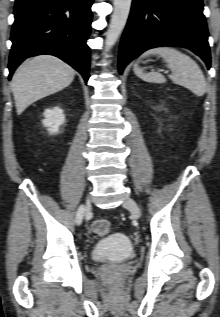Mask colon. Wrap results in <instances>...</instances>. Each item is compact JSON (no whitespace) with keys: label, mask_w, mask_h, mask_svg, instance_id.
<instances>
[{"label":"colon","mask_w":220,"mask_h":317,"mask_svg":"<svg viewBox=\"0 0 220 317\" xmlns=\"http://www.w3.org/2000/svg\"><path fill=\"white\" fill-rule=\"evenodd\" d=\"M110 229V223L104 219L95 220L92 224V230L98 236L107 235L110 232Z\"/></svg>","instance_id":"obj_1"}]
</instances>
